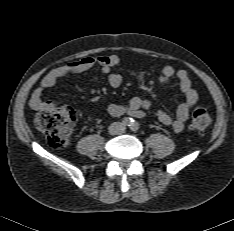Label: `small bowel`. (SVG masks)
<instances>
[{"instance_id":"obj_1","label":"small bowel","mask_w":234,"mask_h":231,"mask_svg":"<svg viewBox=\"0 0 234 231\" xmlns=\"http://www.w3.org/2000/svg\"><path fill=\"white\" fill-rule=\"evenodd\" d=\"M120 63V58L115 54L100 55L96 57H84L82 59L71 61L58 66L49 71L41 80L39 86L33 91L30 105L35 110H52L58 104L53 100L45 98V92L52 88L56 82L63 77L82 73L94 67H99L104 75L107 76L108 83L111 87L117 88L122 84V75L115 72V67ZM177 79L178 89L183 95V101L176 109V117L173 118L164 110H156L157 119L165 126H171L177 134L185 129L186 122L189 118L190 111L198 101V93L192 87L191 79L184 70L178 72L170 65H165L158 76L161 84H170L173 79ZM152 108L150 100L134 97L128 104H109L107 112L112 116L129 115L133 118H144L146 112Z\"/></svg>"}]
</instances>
